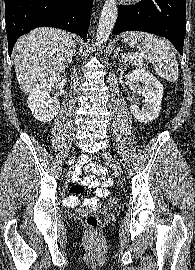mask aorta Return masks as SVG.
Wrapping results in <instances>:
<instances>
[{"instance_id":"1","label":"aorta","mask_w":195,"mask_h":270,"mask_svg":"<svg viewBox=\"0 0 195 270\" xmlns=\"http://www.w3.org/2000/svg\"><path fill=\"white\" fill-rule=\"evenodd\" d=\"M118 16L116 0H106L101 11L96 32V45L101 47L109 38Z\"/></svg>"}]
</instances>
